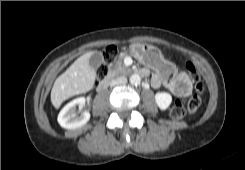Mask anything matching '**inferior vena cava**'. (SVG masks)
<instances>
[{"label": "inferior vena cava", "mask_w": 245, "mask_h": 170, "mask_svg": "<svg viewBox=\"0 0 245 170\" xmlns=\"http://www.w3.org/2000/svg\"><path fill=\"white\" fill-rule=\"evenodd\" d=\"M127 83V78L122 76V77H117V78H114L110 81V86L111 87H114V86H117V85H124Z\"/></svg>", "instance_id": "602c4592"}]
</instances>
